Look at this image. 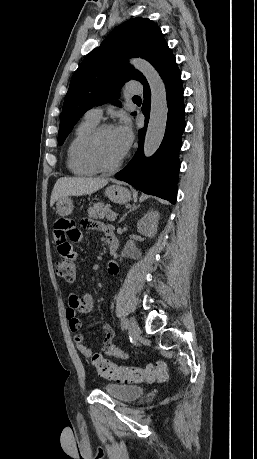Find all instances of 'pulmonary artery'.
Returning <instances> with one entry per match:
<instances>
[{
	"label": "pulmonary artery",
	"mask_w": 257,
	"mask_h": 459,
	"mask_svg": "<svg viewBox=\"0 0 257 459\" xmlns=\"http://www.w3.org/2000/svg\"><path fill=\"white\" fill-rule=\"evenodd\" d=\"M128 92L131 94H139L141 92L140 88H136L134 86H129L128 87ZM86 116L91 117L93 119H96L99 121V119L102 116V109L100 107H94L90 109L87 113Z\"/></svg>",
	"instance_id": "e3ab8cb5"
}]
</instances>
